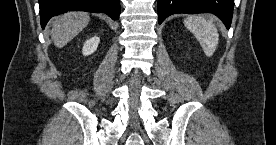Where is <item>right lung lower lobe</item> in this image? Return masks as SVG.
<instances>
[{"instance_id":"right-lung-lower-lobe-1","label":"right lung lower lobe","mask_w":276,"mask_h":145,"mask_svg":"<svg viewBox=\"0 0 276 145\" xmlns=\"http://www.w3.org/2000/svg\"><path fill=\"white\" fill-rule=\"evenodd\" d=\"M39 7L42 28L52 16L68 11L104 12L113 20L120 15L119 0H39Z\"/></svg>"}]
</instances>
